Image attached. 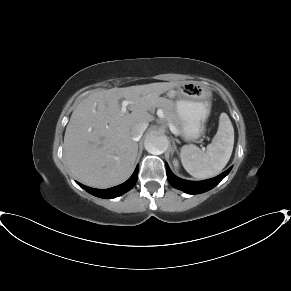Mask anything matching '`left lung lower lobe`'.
<instances>
[{
  "label": "left lung lower lobe",
  "mask_w": 291,
  "mask_h": 291,
  "mask_svg": "<svg viewBox=\"0 0 291 291\" xmlns=\"http://www.w3.org/2000/svg\"><path fill=\"white\" fill-rule=\"evenodd\" d=\"M231 168L218 175L215 178L204 181H187L175 176L169 166L166 164V173L169 183L176 189L182 190L188 194H199L215 187L229 172Z\"/></svg>",
  "instance_id": "0a47b994"
}]
</instances>
